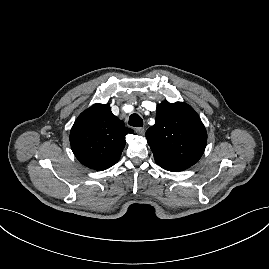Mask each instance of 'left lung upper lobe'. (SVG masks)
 <instances>
[{"label":"left lung upper lobe","instance_id":"left-lung-upper-lobe-1","mask_svg":"<svg viewBox=\"0 0 269 269\" xmlns=\"http://www.w3.org/2000/svg\"><path fill=\"white\" fill-rule=\"evenodd\" d=\"M154 159L162 168L190 167L202 156L206 129L198 114L184 102L157 105L156 123L146 132Z\"/></svg>","mask_w":269,"mask_h":269}]
</instances>
